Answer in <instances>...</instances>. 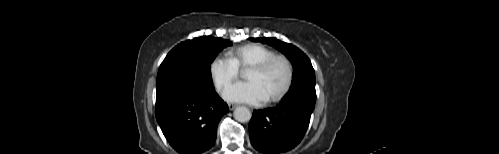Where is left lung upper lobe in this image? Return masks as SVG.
<instances>
[{
  "label": "left lung upper lobe",
  "mask_w": 499,
  "mask_h": 154,
  "mask_svg": "<svg viewBox=\"0 0 499 154\" xmlns=\"http://www.w3.org/2000/svg\"><path fill=\"white\" fill-rule=\"evenodd\" d=\"M252 41L269 44L287 56L294 70L291 89L301 86H315V72L311 61L299 48L275 38H252Z\"/></svg>",
  "instance_id": "5c2ea615"
}]
</instances>
